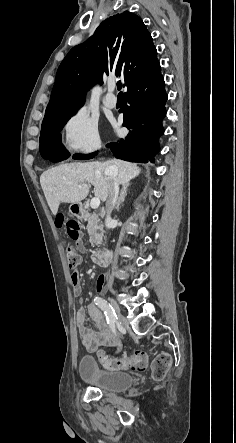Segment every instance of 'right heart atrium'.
<instances>
[{"mask_svg":"<svg viewBox=\"0 0 236 443\" xmlns=\"http://www.w3.org/2000/svg\"><path fill=\"white\" fill-rule=\"evenodd\" d=\"M63 144L72 155H90L100 148L98 123L88 111L78 109L64 122Z\"/></svg>","mask_w":236,"mask_h":443,"instance_id":"d8ad5b80","label":"right heart atrium"}]
</instances>
